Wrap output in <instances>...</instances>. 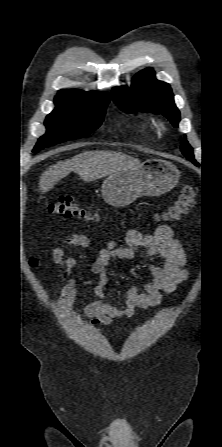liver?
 I'll return each instance as SVG.
<instances>
[{"instance_id":"1","label":"liver","mask_w":222,"mask_h":447,"mask_svg":"<svg viewBox=\"0 0 222 447\" xmlns=\"http://www.w3.org/2000/svg\"><path fill=\"white\" fill-rule=\"evenodd\" d=\"M139 161L129 155L114 151H87L66 161H60L43 172L39 190L46 193L71 172L90 182L117 171L134 169Z\"/></svg>"}]
</instances>
